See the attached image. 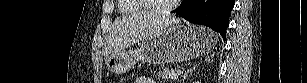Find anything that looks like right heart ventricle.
I'll return each mask as SVG.
<instances>
[{
	"mask_svg": "<svg viewBox=\"0 0 307 83\" xmlns=\"http://www.w3.org/2000/svg\"><path fill=\"white\" fill-rule=\"evenodd\" d=\"M145 8L136 0H119L118 11L120 14H132L144 11Z\"/></svg>",
	"mask_w": 307,
	"mask_h": 83,
	"instance_id": "obj_1",
	"label": "right heart ventricle"
}]
</instances>
